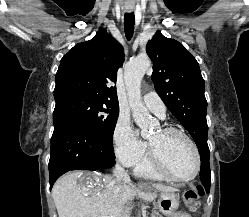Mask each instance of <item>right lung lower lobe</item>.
Here are the masks:
<instances>
[{
	"label": "right lung lower lobe",
	"instance_id": "obj_1",
	"mask_svg": "<svg viewBox=\"0 0 249 217\" xmlns=\"http://www.w3.org/2000/svg\"><path fill=\"white\" fill-rule=\"evenodd\" d=\"M54 132L49 161L50 189L70 170H103L115 164L112 140L91 133L69 114L53 113Z\"/></svg>",
	"mask_w": 249,
	"mask_h": 217
}]
</instances>
